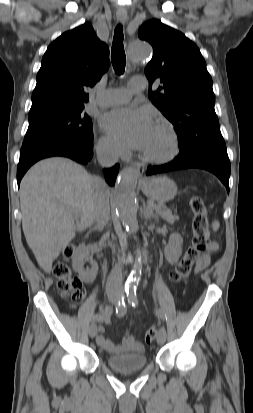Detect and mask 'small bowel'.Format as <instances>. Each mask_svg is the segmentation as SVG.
Listing matches in <instances>:
<instances>
[{"mask_svg": "<svg viewBox=\"0 0 253 413\" xmlns=\"http://www.w3.org/2000/svg\"><path fill=\"white\" fill-rule=\"evenodd\" d=\"M218 249V245L215 242L210 243L206 252L202 255L201 259L197 263L196 270L200 271L206 268L211 260L212 254H214ZM109 312L108 308L102 311V314H107ZM105 321L108 322V318L105 317ZM104 327L99 328V335L96 338L97 344L101 346L104 350L110 353H120L125 351H140L142 350L141 344L135 339L133 334L127 330L123 338L122 345L114 344L110 339L104 336Z\"/></svg>", "mask_w": 253, "mask_h": 413, "instance_id": "small-bowel-1", "label": "small bowel"}]
</instances>
